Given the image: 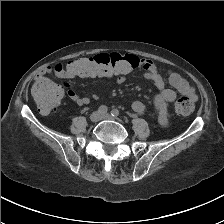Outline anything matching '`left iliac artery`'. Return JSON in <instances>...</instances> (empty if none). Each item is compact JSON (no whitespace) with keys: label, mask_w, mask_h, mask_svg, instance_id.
Listing matches in <instances>:
<instances>
[{"label":"left iliac artery","mask_w":224,"mask_h":224,"mask_svg":"<svg viewBox=\"0 0 224 224\" xmlns=\"http://www.w3.org/2000/svg\"><path fill=\"white\" fill-rule=\"evenodd\" d=\"M111 115L114 116V117L119 116V110H118V109H113V110L111 111Z\"/></svg>","instance_id":"1"}]
</instances>
